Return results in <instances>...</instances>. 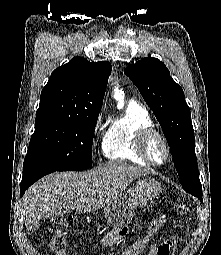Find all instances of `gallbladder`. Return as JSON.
I'll list each match as a JSON object with an SVG mask.
<instances>
[{"mask_svg":"<svg viewBox=\"0 0 221 255\" xmlns=\"http://www.w3.org/2000/svg\"><path fill=\"white\" fill-rule=\"evenodd\" d=\"M38 228H39V224H36V225L33 226L32 230L36 231V230H38Z\"/></svg>","mask_w":221,"mask_h":255,"instance_id":"gallbladder-1","label":"gallbladder"}]
</instances>
